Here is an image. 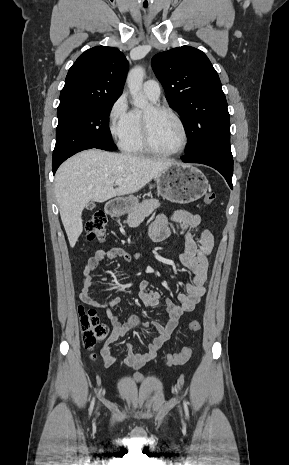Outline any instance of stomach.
Wrapping results in <instances>:
<instances>
[{"label": "stomach", "instance_id": "1", "mask_svg": "<svg viewBox=\"0 0 289 465\" xmlns=\"http://www.w3.org/2000/svg\"><path fill=\"white\" fill-rule=\"evenodd\" d=\"M157 193L174 203L186 204L200 199L206 194L208 180L197 168L174 163L156 178ZM109 212L122 214L138 205V198L128 196L115 199Z\"/></svg>", "mask_w": 289, "mask_h": 465}]
</instances>
